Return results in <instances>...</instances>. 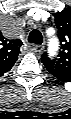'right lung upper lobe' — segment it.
I'll return each instance as SVG.
<instances>
[{"instance_id":"1","label":"right lung upper lobe","mask_w":71,"mask_h":119,"mask_svg":"<svg viewBox=\"0 0 71 119\" xmlns=\"http://www.w3.org/2000/svg\"><path fill=\"white\" fill-rule=\"evenodd\" d=\"M22 41L19 39L9 40L4 36L0 37V72L3 74L9 71L17 61Z\"/></svg>"}]
</instances>
